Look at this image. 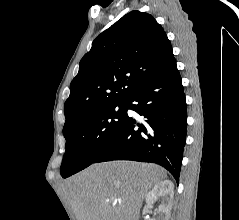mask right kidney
I'll return each instance as SVG.
<instances>
[{
    "instance_id": "obj_1",
    "label": "right kidney",
    "mask_w": 239,
    "mask_h": 220,
    "mask_svg": "<svg viewBox=\"0 0 239 220\" xmlns=\"http://www.w3.org/2000/svg\"><path fill=\"white\" fill-rule=\"evenodd\" d=\"M174 194V184L170 180H164L152 187L147 193L145 200L146 206L143 214L148 212V209L153 208L154 202L160 200L161 204L155 209V217L151 220H169L172 208V199Z\"/></svg>"
}]
</instances>
